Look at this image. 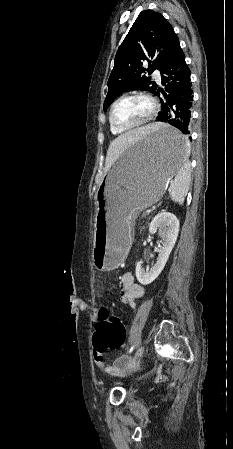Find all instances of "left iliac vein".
Wrapping results in <instances>:
<instances>
[{
  "instance_id": "left-iliac-vein-1",
  "label": "left iliac vein",
  "mask_w": 233,
  "mask_h": 449,
  "mask_svg": "<svg viewBox=\"0 0 233 449\" xmlns=\"http://www.w3.org/2000/svg\"><path fill=\"white\" fill-rule=\"evenodd\" d=\"M145 346H141L135 353V355L129 360L128 366L134 364L144 353Z\"/></svg>"
}]
</instances>
